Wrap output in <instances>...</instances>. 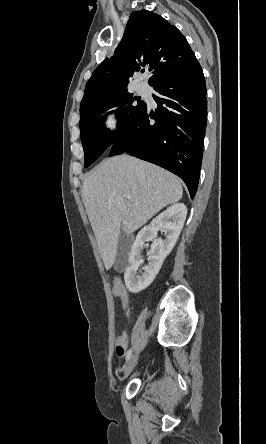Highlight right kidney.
<instances>
[{
  "label": "right kidney",
  "instance_id": "1",
  "mask_svg": "<svg viewBox=\"0 0 266 444\" xmlns=\"http://www.w3.org/2000/svg\"><path fill=\"white\" fill-rule=\"evenodd\" d=\"M187 208L183 203H177L167 208L158 215L137 234L134 244L129 254L130 265L124 273L125 285L129 292L138 293L146 289L158 274L164 259L174 248L176 241L186 220ZM162 230L166 238L157 239V231ZM152 241L151 251L141 276L137 275L138 267L141 264V254L145 247V242Z\"/></svg>",
  "mask_w": 266,
  "mask_h": 444
}]
</instances>
